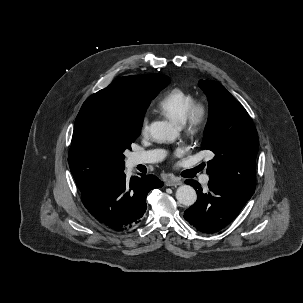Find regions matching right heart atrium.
Listing matches in <instances>:
<instances>
[{
  "label": "right heart atrium",
  "mask_w": 303,
  "mask_h": 303,
  "mask_svg": "<svg viewBox=\"0 0 303 303\" xmlns=\"http://www.w3.org/2000/svg\"><path fill=\"white\" fill-rule=\"evenodd\" d=\"M140 131H141L142 135L147 134V132H148V120H147V118H143V120L141 122Z\"/></svg>",
  "instance_id": "d8ad5b80"
}]
</instances>
